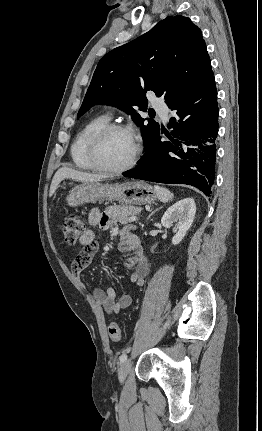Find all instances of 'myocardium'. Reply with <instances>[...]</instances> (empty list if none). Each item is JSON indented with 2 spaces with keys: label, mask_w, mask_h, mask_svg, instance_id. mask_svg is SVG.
<instances>
[{
  "label": "myocardium",
  "mask_w": 262,
  "mask_h": 431,
  "mask_svg": "<svg viewBox=\"0 0 262 431\" xmlns=\"http://www.w3.org/2000/svg\"><path fill=\"white\" fill-rule=\"evenodd\" d=\"M114 132H125L129 135H131L134 139L135 147L133 154L130 158V160L120 167H110L106 165L101 157V146L104 141V139L114 133ZM142 146L141 143L134 132V130L124 124H117V123H110L106 125L105 127L101 128L91 139L90 145H89V159L91 163L94 165V167L101 171L108 174H120L123 173L135 166L137 163L140 154H141Z\"/></svg>",
  "instance_id": "1"
}]
</instances>
